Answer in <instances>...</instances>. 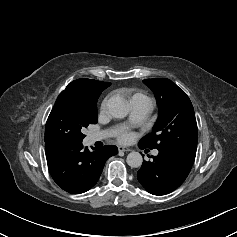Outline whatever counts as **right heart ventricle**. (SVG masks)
<instances>
[{"instance_id": "1", "label": "right heart ventricle", "mask_w": 237, "mask_h": 237, "mask_svg": "<svg viewBox=\"0 0 237 237\" xmlns=\"http://www.w3.org/2000/svg\"><path fill=\"white\" fill-rule=\"evenodd\" d=\"M123 92L128 95L129 101L132 102L134 100H147L150 101L148 96H146L143 92L134 91L132 89H124Z\"/></svg>"}]
</instances>
